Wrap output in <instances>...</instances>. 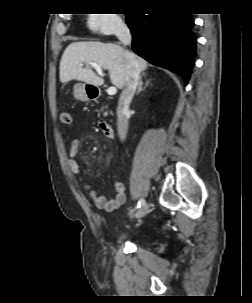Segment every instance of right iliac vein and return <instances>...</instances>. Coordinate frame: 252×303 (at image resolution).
Returning <instances> with one entry per match:
<instances>
[{
  "label": "right iliac vein",
  "instance_id": "63e3f726",
  "mask_svg": "<svg viewBox=\"0 0 252 303\" xmlns=\"http://www.w3.org/2000/svg\"><path fill=\"white\" fill-rule=\"evenodd\" d=\"M147 212H148V204L144 203L142 207L136 212L135 217L142 218L147 214Z\"/></svg>",
  "mask_w": 252,
  "mask_h": 303
}]
</instances>
